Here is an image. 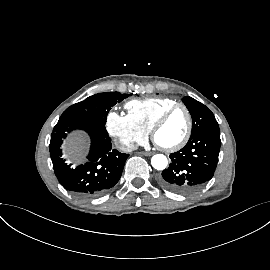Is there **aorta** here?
Listing matches in <instances>:
<instances>
[{
    "label": "aorta",
    "mask_w": 270,
    "mask_h": 270,
    "mask_svg": "<svg viewBox=\"0 0 270 270\" xmlns=\"http://www.w3.org/2000/svg\"><path fill=\"white\" fill-rule=\"evenodd\" d=\"M168 160L163 154H156L151 159V165L156 170H164L167 167Z\"/></svg>",
    "instance_id": "obj_1"
}]
</instances>
